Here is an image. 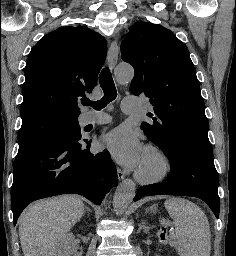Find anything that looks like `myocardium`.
Segmentation results:
<instances>
[{"label": "myocardium", "mask_w": 236, "mask_h": 256, "mask_svg": "<svg viewBox=\"0 0 236 256\" xmlns=\"http://www.w3.org/2000/svg\"><path fill=\"white\" fill-rule=\"evenodd\" d=\"M145 152L155 156L158 167L150 175L144 174L139 168L134 172L135 180L142 185H156L165 181L172 172V163L167 153L157 145H148Z\"/></svg>", "instance_id": "1"}]
</instances>
